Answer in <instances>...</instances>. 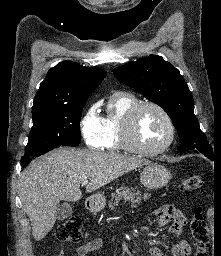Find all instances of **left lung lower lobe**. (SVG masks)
<instances>
[{"label":"left lung lower lobe","mask_w":221,"mask_h":256,"mask_svg":"<svg viewBox=\"0 0 221 256\" xmlns=\"http://www.w3.org/2000/svg\"><path fill=\"white\" fill-rule=\"evenodd\" d=\"M197 153H199V152H197ZM203 155L210 158L211 160L215 161V156L214 155H206V154H203Z\"/></svg>","instance_id":"0a47b994"}]
</instances>
